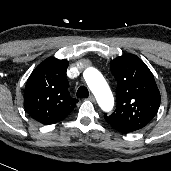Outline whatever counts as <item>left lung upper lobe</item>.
Returning a JSON list of instances; mask_svg holds the SVG:
<instances>
[{
	"label": "left lung upper lobe",
	"mask_w": 171,
	"mask_h": 171,
	"mask_svg": "<svg viewBox=\"0 0 171 171\" xmlns=\"http://www.w3.org/2000/svg\"><path fill=\"white\" fill-rule=\"evenodd\" d=\"M110 69L117 81V107L106 121L116 130L144 128L157 114L160 92L146 64L133 54L112 60Z\"/></svg>",
	"instance_id": "5c2ea615"
}]
</instances>
